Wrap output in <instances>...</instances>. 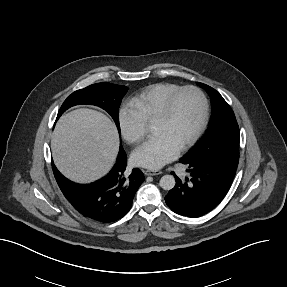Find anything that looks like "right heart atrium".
I'll list each match as a JSON object with an SVG mask.
<instances>
[{"mask_svg":"<svg viewBox=\"0 0 287 287\" xmlns=\"http://www.w3.org/2000/svg\"><path fill=\"white\" fill-rule=\"evenodd\" d=\"M118 124L122 137L130 144L141 142L146 135V125L139 115L129 107L118 112Z\"/></svg>","mask_w":287,"mask_h":287,"instance_id":"d8ad5b80","label":"right heart atrium"}]
</instances>
